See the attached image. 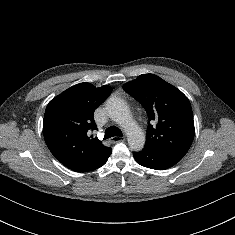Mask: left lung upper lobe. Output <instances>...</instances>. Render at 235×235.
I'll list each match as a JSON object with an SVG mask.
<instances>
[{
    "mask_svg": "<svg viewBox=\"0 0 235 235\" xmlns=\"http://www.w3.org/2000/svg\"><path fill=\"white\" fill-rule=\"evenodd\" d=\"M123 89L146 109L149 116L145 146L185 155L194 138L193 113L188 98L154 74H142Z\"/></svg>",
    "mask_w": 235,
    "mask_h": 235,
    "instance_id": "left-lung-upper-lobe-1",
    "label": "left lung upper lobe"
}]
</instances>
